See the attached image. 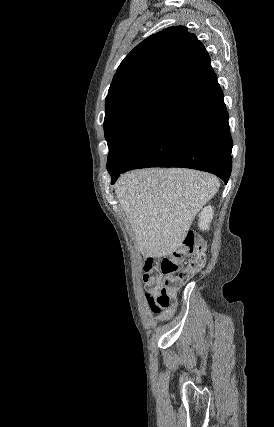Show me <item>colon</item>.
Instances as JSON below:
<instances>
[{
    "label": "colon",
    "mask_w": 274,
    "mask_h": 427,
    "mask_svg": "<svg viewBox=\"0 0 274 427\" xmlns=\"http://www.w3.org/2000/svg\"><path fill=\"white\" fill-rule=\"evenodd\" d=\"M183 247L160 257H147L143 264L146 276V298L154 314H160L172 302L179 285L206 263L205 242L196 241L192 232L181 233Z\"/></svg>",
    "instance_id": "1"
}]
</instances>
